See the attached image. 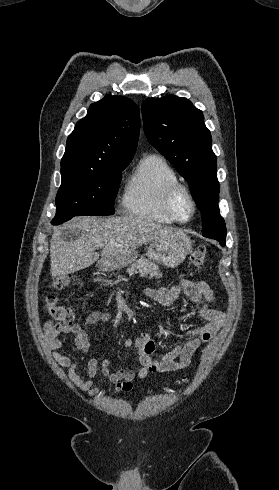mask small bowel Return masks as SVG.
Instances as JSON below:
<instances>
[{"label": "small bowel", "instance_id": "c3829d8e", "mask_svg": "<svg viewBox=\"0 0 279 490\" xmlns=\"http://www.w3.org/2000/svg\"><path fill=\"white\" fill-rule=\"evenodd\" d=\"M184 292L188 298L199 307L200 316L205 323L188 332V339L176 346L173 350L164 354L160 359L153 358L155 342L148 333H143L135 338H127L123 341L126 348H134L139 356L140 368L137 372L121 368L111 371V362L104 359L101 364L92 359L86 362L85 369L89 380H84L77 372V360L74 356L63 355L58 350L63 345V336L72 335L75 348L85 353L89 343L87 337L88 328L106 323L111 315L105 311L91 312L82 323L62 325L53 321H47L43 327L44 340L53 351L58 364L67 370L68 377L81 391L90 395L98 394L102 388H93V379H106L107 388L128 392L133 387L136 377L144 378L149 373L181 370L189 366L193 355L202 343L211 341L219 332L225 320V314L219 310L211 309L208 303L215 301V296L209 285L204 281L183 279L177 285L164 288H150L144 291V295L152 301L163 305H172Z\"/></svg>", "mask_w": 279, "mask_h": 490}]
</instances>
